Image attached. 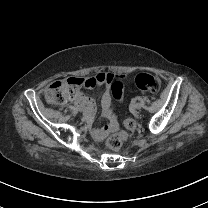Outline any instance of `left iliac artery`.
<instances>
[{
  "label": "left iliac artery",
  "mask_w": 208,
  "mask_h": 208,
  "mask_svg": "<svg viewBox=\"0 0 208 208\" xmlns=\"http://www.w3.org/2000/svg\"><path fill=\"white\" fill-rule=\"evenodd\" d=\"M137 99H138V100H141L142 98H141V97H138Z\"/></svg>",
  "instance_id": "left-iliac-artery-1"
}]
</instances>
